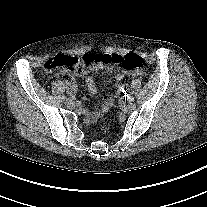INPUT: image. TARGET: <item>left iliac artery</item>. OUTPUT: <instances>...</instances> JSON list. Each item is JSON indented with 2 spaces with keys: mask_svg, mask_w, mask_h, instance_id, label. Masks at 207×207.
<instances>
[{
  "mask_svg": "<svg viewBox=\"0 0 207 207\" xmlns=\"http://www.w3.org/2000/svg\"><path fill=\"white\" fill-rule=\"evenodd\" d=\"M127 95H128L129 97H132V96L134 95V91H133V90H129V91L127 92Z\"/></svg>",
  "mask_w": 207,
  "mask_h": 207,
  "instance_id": "left-iliac-artery-1",
  "label": "left iliac artery"
}]
</instances>
